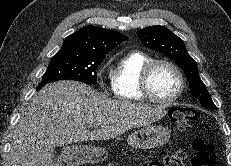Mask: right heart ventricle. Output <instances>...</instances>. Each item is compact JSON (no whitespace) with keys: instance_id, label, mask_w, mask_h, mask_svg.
<instances>
[{"instance_id":"obj_1","label":"right heart ventricle","mask_w":231,"mask_h":166,"mask_svg":"<svg viewBox=\"0 0 231 166\" xmlns=\"http://www.w3.org/2000/svg\"><path fill=\"white\" fill-rule=\"evenodd\" d=\"M153 58L139 50L125 53L117 62L112 73L114 96L124 101H140L144 96L140 90V76L144 66Z\"/></svg>"}]
</instances>
